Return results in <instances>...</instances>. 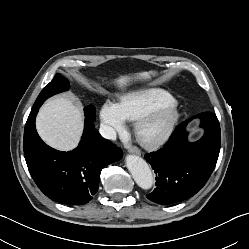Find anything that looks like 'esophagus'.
<instances>
[{
    "label": "esophagus",
    "instance_id": "34e87169",
    "mask_svg": "<svg viewBox=\"0 0 249 249\" xmlns=\"http://www.w3.org/2000/svg\"><path fill=\"white\" fill-rule=\"evenodd\" d=\"M129 153L141 155V150L138 147L133 146L129 148Z\"/></svg>",
    "mask_w": 249,
    "mask_h": 249
}]
</instances>
